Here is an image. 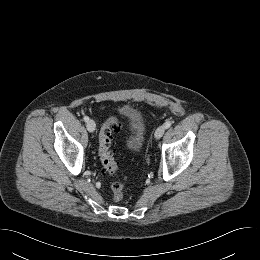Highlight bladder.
Instances as JSON below:
<instances>
[{
	"label": "bladder",
	"mask_w": 260,
	"mask_h": 260,
	"mask_svg": "<svg viewBox=\"0 0 260 260\" xmlns=\"http://www.w3.org/2000/svg\"><path fill=\"white\" fill-rule=\"evenodd\" d=\"M122 112L126 115L133 128V134L128 141L129 147L133 150H139L144 143L146 126L140 120V113L137 109L125 107Z\"/></svg>",
	"instance_id": "bladder-1"
}]
</instances>
